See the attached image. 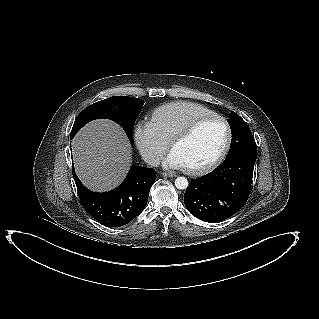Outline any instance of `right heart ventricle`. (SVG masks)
Wrapping results in <instances>:
<instances>
[{"label":"right heart ventricle","instance_id":"1","mask_svg":"<svg viewBox=\"0 0 319 319\" xmlns=\"http://www.w3.org/2000/svg\"><path fill=\"white\" fill-rule=\"evenodd\" d=\"M214 113L211 109L189 101H174L156 107L149 114V122L169 143L193 119Z\"/></svg>","mask_w":319,"mask_h":319}]
</instances>
